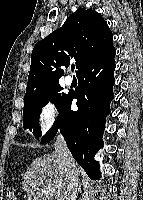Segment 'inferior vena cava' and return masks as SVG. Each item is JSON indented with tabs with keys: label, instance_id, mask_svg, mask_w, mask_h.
<instances>
[{
	"label": "inferior vena cava",
	"instance_id": "inferior-vena-cava-1",
	"mask_svg": "<svg viewBox=\"0 0 143 200\" xmlns=\"http://www.w3.org/2000/svg\"><path fill=\"white\" fill-rule=\"evenodd\" d=\"M55 152L61 156V162L66 174L64 200H76L79 185L78 170L64 137L59 133L55 143Z\"/></svg>",
	"mask_w": 143,
	"mask_h": 200
}]
</instances>
